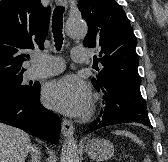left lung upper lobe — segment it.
I'll list each match as a JSON object with an SVG mask.
<instances>
[{
	"label": "left lung upper lobe",
	"mask_w": 168,
	"mask_h": 162,
	"mask_svg": "<svg viewBox=\"0 0 168 162\" xmlns=\"http://www.w3.org/2000/svg\"><path fill=\"white\" fill-rule=\"evenodd\" d=\"M78 8L88 24L83 41L95 47L103 65L92 84L97 90L116 82L139 87L137 39L122 7L114 0H79Z\"/></svg>",
	"instance_id": "5c2ea615"
}]
</instances>
